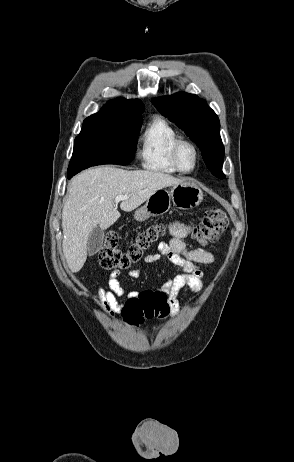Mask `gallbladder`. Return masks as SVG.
<instances>
[{
    "instance_id": "1",
    "label": "gallbladder",
    "mask_w": 294,
    "mask_h": 462,
    "mask_svg": "<svg viewBox=\"0 0 294 462\" xmlns=\"http://www.w3.org/2000/svg\"><path fill=\"white\" fill-rule=\"evenodd\" d=\"M104 236V231L99 226L92 230L87 241V252L89 256H93L99 252L103 245Z\"/></svg>"
}]
</instances>
